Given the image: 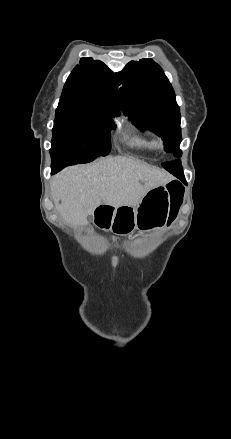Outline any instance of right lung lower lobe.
I'll return each instance as SVG.
<instances>
[{"mask_svg": "<svg viewBox=\"0 0 231 439\" xmlns=\"http://www.w3.org/2000/svg\"><path fill=\"white\" fill-rule=\"evenodd\" d=\"M63 167H65L64 165H55V164H52V174H54V173H56V172H58L59 170H61Z\"/></svg>", "mask_w": 231, "mask_h": 439, "instance_id": "98d812e1", "label": "right lung lower lobe"}]
</instances>
